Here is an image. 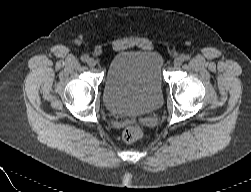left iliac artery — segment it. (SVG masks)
I'll return each instance as SVG.
<instances>
[{
	"instance_id": "obj_1",
	"label": "left iliac artery",
	"mask_w": 251,
	"mask_h": 192,
	"mask_svg": "<svg viewBox=\"0 0 251 192\" xmlns=\"http://www.w3.org/2000/svg\"><path fill=\"white\" fill-rule=\"evenodd\" d=\"M190 59V56L189 55H182V60L183 61H187Z\"/></svg>"
}]
</instances>
